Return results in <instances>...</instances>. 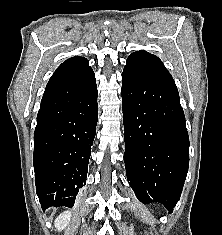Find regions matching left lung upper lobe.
Segmentation results:
<instances>
[{"label":"left lung upper lobe","instance_id":"1","mask_svg":"<svg viewBox=\"0 0 222 235\" xmlns=\"http://www.w3.org/2000/svg\"><path fill=\"white\" fill-rule=\"evenodd\" d=\"M130 58H135V59H140V60H143V61H148V62H151L165 70H167L164 66V64L162 63V61L155 55H152L144 50H141V51H137V52H134L132 53L129 57Z\"/></svg>","mask_w":222,"mask_h":235}]
</instances>
